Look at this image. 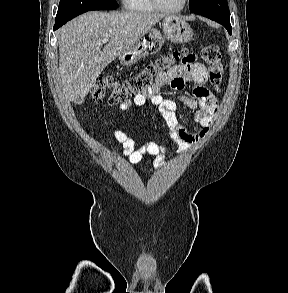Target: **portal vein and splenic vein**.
Wrapping results in <instances>:
<instances>
[{
	"instance_id": "portal-vein-and-splenic-vein-1",
	"label": "portal vein and splenic vein",
	"mask_w": 288,
	"mask_h": 293,
	"mask_svg": "<svg viewBox=\"0 0 288 293\" xmlns=\"http://www.w3.org/2000/svg\"><path fill=\"white\" fill-rule=\"evenodd\" d=\"M107 42H108V39H107V38H105V39H103V40L101 41V43H100V44L102 45V44H105V43H107Z\"/></svg>"
}]
</instances>
